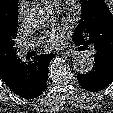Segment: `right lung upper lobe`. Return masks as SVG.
Wrapping results in <instances>:
<instances>
[{
    "mask_svg": "<svg viewBox=\"0 0 113 113\" xmlns=\"http://www.w3.org/2000/svg\"><path fill=\"white\" fill-rule=\"evenodd\" d=\"M18 0H0V77L6 80L17 62L14 39L17 35Z\"/></svg>",
    "mask_w": 113,
    "mask_h": 113,
    "instance_id": "obj_1",
    "label": "right lung upper lobe"
}]
</instances>
